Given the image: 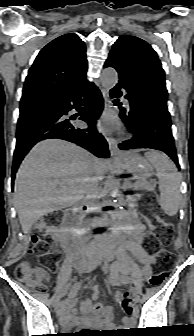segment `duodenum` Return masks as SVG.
I'll use <instances>...</instances> for the list:
<instances>
[{"label":"duodenum","instance_id":"410a0bca","mask_svg":"<svg viewBox=\"0 0 194 336\" xmlns=\"http://www.w3.org/2000/svg\"><path fill=\"white\" fill-rule=\"evenodd\" d=\"M86 206L81 203L76 205L64 215L62 228L64 230V251L71 255L76 263L84 265L88 268H95L97 262L105 258V250L101 247L88 249L82 238L78 222L81 213Z\"/></svg>","mask_w":194,"mask_h":336}]
</instances>
